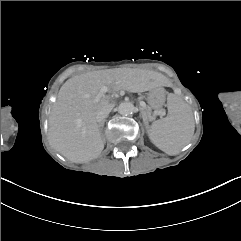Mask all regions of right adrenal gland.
I'll use <instances>...</instances> for the list:
<instances>
[{
  "mask_svg": "<svg viewBox=\"0 0 241 241\" xmlns=\"http://www.w3.org/2000/svg\"><path fill=\"white\" fill-rule=\"evenodd\" d=\"M103 127V125H101ZM101 132H102V128H100Z\"/></svg>",
  "mask_w": 241,
  "mask_h": 241,
  "instance_id": "2a0ac1e0",
  "label": "right adrenal gland"
}]
</instances>
